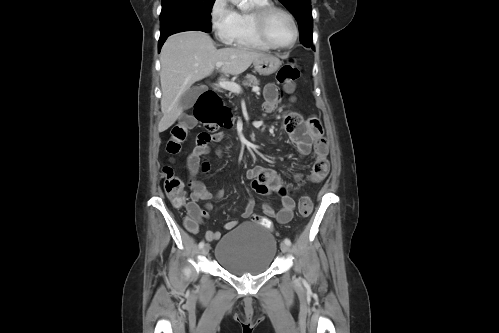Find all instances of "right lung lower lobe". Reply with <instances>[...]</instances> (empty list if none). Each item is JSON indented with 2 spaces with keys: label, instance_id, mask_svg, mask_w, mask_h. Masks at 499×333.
<instances>
[{
  "label": "right lung lower lobe",
  "instance_id": "obj_1",
  "mask_svg": "<svg viewBox=\"0 0 499 333\" xmlns=\"http://www.w3.org/2000/svg\"><path fill=\"white\" fill-rule=\"evenodd\" d=\"M167 38H168V37H160V39H159V43H158V50H159V52H160V50H161V47H162L163 43L165 42V40H166Z\"/></svg>",
  "mask_w": 499,
  "mask_h": 333
}]
</instances>
